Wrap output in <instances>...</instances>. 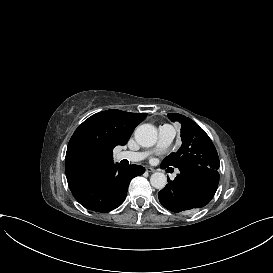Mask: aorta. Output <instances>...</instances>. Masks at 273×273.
Segmentation results:
<instances>
[{"label": "aorta", "mask_w": 273, "mask_h": 273, "mask_svg": "<svg viewBox=\"0 0 273 273\" xmlns=\"http://www.w3.org/2000/svg\"><path fill=\"white\" fill-rule=\"evenodd\" d=\"M135 139L143 147H151L157 141V129L151 124H142L135 130ZM151 185L156 189H163L167 184L164 173L155 172L150 177Z\"/></svg>", "instance_id": "762f6f07"}]
</instances>
